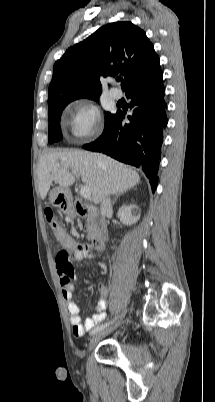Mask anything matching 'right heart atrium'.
I'll return each mask as SVG.
<instances>
[{
    "label": "right heart atrium",
    "mask_w": 215,
    "mask_h": 402,
    "mask_svg": "<svg viewBox=\"0 0 215 402\" xmlns=\"http://www.w3.org/2000/svg\"><path fill=\"white\" fill-rule=\"evenodd\" d=\"M70 113V134L75 140L84 142L98 133L101 113L92 101L87 99L74 101Z\"/></svg>",
    "instance_id": "obj_1"
}]
</instances>
